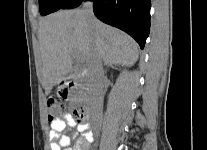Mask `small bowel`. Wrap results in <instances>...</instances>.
<instances>
[{
    "instance_id": "1",
    "label": "small bowel",
    "mask_w": 207,
    "mask_h": 150,
    "mask_svg": "<svg viewBox=\"0 0 207 150\" xmlns=\"http://www.w3.org/2000/svg\"><path fill=\"white\" fill-rule=\"evenodd\" d=\"M51 131L49 133L51 150H89L94 140V135L87 123H77L73 115L67 114L64 119L50 121ZM68 132L77 137L73 146L70 145Z\"/></svg>"
}]
</instances>
